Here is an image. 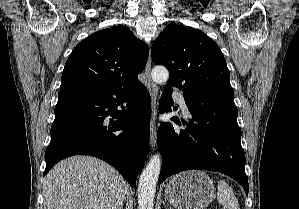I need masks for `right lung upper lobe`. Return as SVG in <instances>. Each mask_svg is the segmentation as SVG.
Here are the masks:
<instances>
[{
  "mask_svg": "<svg viewBox=\"0 0 299 209\" xmlns=\"http://www.w3.org/2000/svg\"><path fill=\"white\" fill-rule=\"evenodd\" d=\"M147 45L125 26L97 31L81 41L66 61L60 92L135 87L146 65Z\"/></svg>",
  "mask_w": 299,
  "mask_h": 209,
  "instance_id": "1",
  "label": "right lung upper lobe"
}]
</instances>
